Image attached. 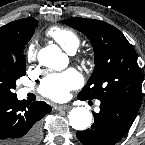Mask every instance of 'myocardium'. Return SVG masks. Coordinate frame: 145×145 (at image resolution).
Returning <instances> with one entry per match:
<instances>
[{
    "label": "myocardium",
    "instance_id": "myocardium-1",
    "mask_svg": "<svg viewBox=\"0 0 145 145\" xmlns=\"http://www.w3.org/2000/svg\"><path fill=\"white\" fill-rule=\"evenodd\" d=\"M84 59L89 61V60H91V56L89 54H85Z\"/></svg>",
    "mask_w": 145,
    "mask_h": 145
}]
</instances>
